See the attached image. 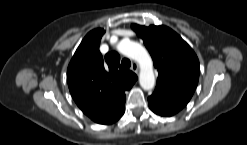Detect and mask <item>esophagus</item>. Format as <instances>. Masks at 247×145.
Returning <instances> with one entry per match:
<instances>
[{
    "label": "esophagus",
    "mask_w": 247,
    "mask_h": 145,
    "mask_svg": "<svg viewBox=\"0 0 247 145\" xmlns=\"http://www.w3.org/2000/svg\"><path fill=\"white\" fill-rule=\"evenodd\" d=\"M131 70L134 71L135 73H138L139 71V66L136 62H133L131 65Z\"/></svg>",
    "instance_id": "34e87169"
}]
</instances>
